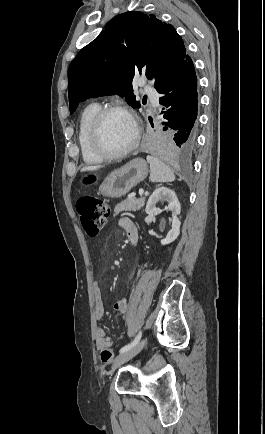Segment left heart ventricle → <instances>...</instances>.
<instances>
[{
	"label": "left heart ventricle",
	"mask_w": 265,
	"mask_h": 434,
	"mask_svg": "<svg viewBox=\"0 0 265 434\" xmlns=\"http://www.w3.org/2000/svg\"><path fill=\"white\" fill-rule=\"evenodd\" d=\"M135 139L134 123L124 113L109 115L104 124L103 140L112 152H121L129 148Z\"/></svg>",
	"instance_id": "b2bd125f"
}]
</instances>
